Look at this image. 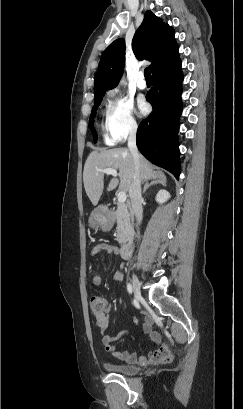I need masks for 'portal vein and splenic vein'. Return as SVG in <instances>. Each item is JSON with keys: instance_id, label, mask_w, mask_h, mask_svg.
<instances>
[{"instance_id": "portal-vein-and-splenic-vein-1", "label": "portal vein and splenic vein", "mask_w": 243, "mask_h": 409, "mask_svg": "<svg viewBox=\"0 0 243 409\" xmlns=\"http://www.w3.org/2000/svg\"><path fill=\"white\" fill-rule=\"evenodd\" d=\"M102 171H103V173H105L107 175H112L114 177H117V175H118L117 171L115 169H112V168H106V169H103ZM117 198H118V202L120 204H124L126 202L127 195H126V193L124 191H120L117 194Z\"/></svg>"}]
</instances>
